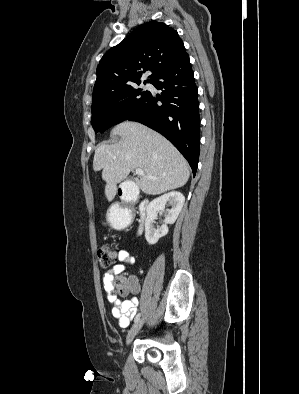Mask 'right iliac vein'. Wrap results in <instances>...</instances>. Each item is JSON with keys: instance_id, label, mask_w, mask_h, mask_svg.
Returning <instances> with one entry per match:
<instances>
[{"instance_id": "obj_1", "label": "right iliac vein", "mask_w": 299, "mask_h": 394, "mask_svg": "<svg viewBox=\"0 0 299 394\" xmlns=\"http://www.w3.org/2000/svg\"><path fill=\"white\" fill-rule=\"evenodd\" d=\"M143 323H144L143 319H140L132 326L126 338L127 345H129L133 341L134 337L138 334V332L142 328Z\"/></svg>"}]
</instances>
